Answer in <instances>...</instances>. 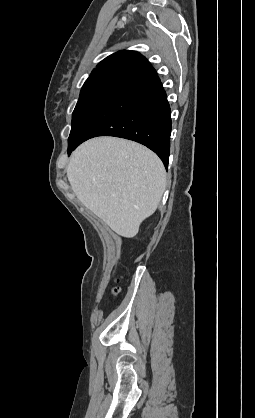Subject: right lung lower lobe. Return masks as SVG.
Returning <instances> with one entry per match:
<instances>
[{"instance_id":"right-lung-lower-lobe-1","label":"right lung lower lobe","mask_w":255,"mask_h":418,"mask_svg":"<svg viewBox=\"0 0 255 418\" xmlns=\"http://www.w3.org/2000/svg\"><path fill=\"white\" fill-rule=\"evenodd\" d=\"M171 111L157 75L125 87L90 120L79 138L68 146L97 136H115L141 143L154 151L167 168L170 153Z\"/></svg>"}]
</instances>
